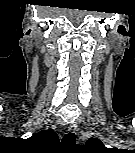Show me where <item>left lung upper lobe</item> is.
<instances>
[{
  "mask_svg": "<svg viewBox=\"0 0 135 153\" xmlns=\"http://www.w3.org/2000/svg\"><path fill=\"white\" fill-rule=\"evenodd\" d=\"M87 146H90L92 148H96V149H104L105 146L103 145V143L96 139V138H92V139H89L86 143Z\"/></svg>",
  "mask_w": 135,
  "mask_h": 153,
  "instance_id": "5c2ea615",
  "label": "left lung upper lobe"
}]
</instances>
